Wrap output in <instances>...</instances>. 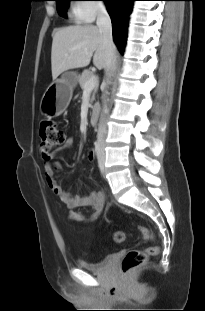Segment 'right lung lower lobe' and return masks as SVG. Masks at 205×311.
Returning <instances> with one entry per match:
<instances>
[{
    "label": "right lung lower lobe",
    "instance_id": "1",
    "mask_svg": "<svg viewBox=\"0 0 205 311\" xmlns=\"http://www.w3.org/2000/svg\"><path fill=\"white\" fill-rule=\"evenodd\" d=\"M112 21L113 39L119 51L123 53L126 40L128 16L135 0H104Z\"/></svg>",
    "mask_w": 205,
    "mask_h": 311
}]
</instances>
